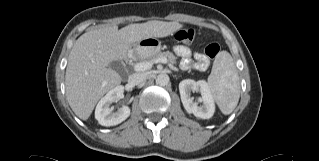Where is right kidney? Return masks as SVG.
I'll return each instance as SVG.
<instances>
[{
	"label": "right kidney",
	"mask_w": 319,
	"mask_h": 161,
	"mask_svg": "<svg viewBox=\"0 0 319 161\" xmlns=\"http://www.w3.org/2000/svg\"><path fill=\"white\" fill-rule=\"evenodd\" d=\"M124 87L119 85L110 90L97 104L95 118L102 126H115L126 120L130 115V108L122 106L116 112L110 105L123 97Z\"/></svg>",
	"instance_id": "obj_1"
}]
</instances>
